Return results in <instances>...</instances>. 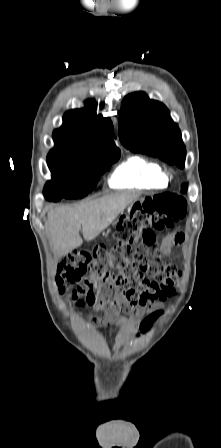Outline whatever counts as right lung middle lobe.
<instances>
[{"label": "right lung middle lobe", "mask_w": 221, "mask_h": 448, "mask_svg": "<svg viewBox=\"0 0 221 448\" xmlns=\"http://www.w3.org/2000/svg\"><path fill=\"white\" fill-rule=\"evenodd\" d=\"M119 157L120 152L89 158L51 151L47 156V164L53 179L45 185V198L57 202L62 198L77 199L86 196L95 188L100 175L109 170Z\"/></svg>", "instance_id": "right-lung-middle-lobe-1"}]
</instances>
